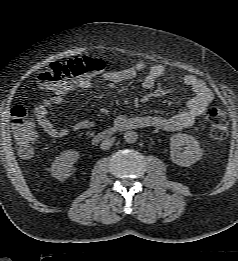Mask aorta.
<instances>
[{"label":"aorta","instance_id":"762f6f07","mask_svg":"<svg viewBox=\"0 0 238 261\" xmlns=\"http://www.w3.org/2000/svg\"><path fill=\"white\" fill-rule=\"evenodd\" d=\"M137 139H138V134L133 130L126 131L124 133V140L128 144L135 143Z\"/></svg>","mask_w":238,"mask_h":261}]
</instances>
